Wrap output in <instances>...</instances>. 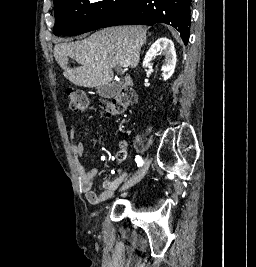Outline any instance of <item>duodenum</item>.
I'll return each instance as SVG.
<instances>
[{
  "label": "duodenum",
  "mask_w": 256,
  "mask_h": 267,
  "mask_svg": "<svg viewBox=\"0 0 256 267\" xmlns=\"http://www.w3.org/2000/svg\"><path fill=\"white\" fill-rule=\"evenodd\" d=\"M126 84L127 85H130V80H126Z\"/></svg>",
  "instance_id": "obj_1"
}]
</instances>
